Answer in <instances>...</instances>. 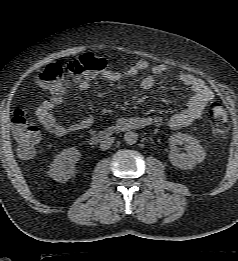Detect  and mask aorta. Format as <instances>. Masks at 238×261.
<instances>
[{"instance_id":"762f6f07","label":"aorta","mask_w":238,"mask_h":261,"mask_svg":"<svg viewBox=\"0 0 238 261\" xmlns=\"http://www.w3.org/2000/svg\"><path fill=\"white\" fill-rule=\"evenodd\" d=\"M138 140V134L134 131H128L124 135V141L126 144L133 145Z\"/></svg>"}]
</instances>
